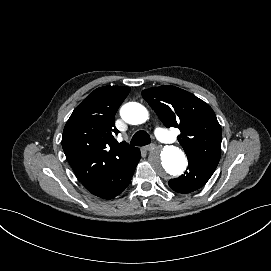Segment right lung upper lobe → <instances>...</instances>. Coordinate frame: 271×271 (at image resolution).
<instances>
[{
    "label": "right lung upper lobe",
    "mask_w": 271,
    "mask_h": 271,
    "mask_svg": "<svg viewBox=\"0 0 271 271\" xmlns=\"http://www.w3.org/2000/svg\"><path fill=\"white\" fill-rule=\"evenodd\" d=\"M129 92L126 86L97 88L75 108L64 127V153L85 188L138 150L114 139L119 132L114 116Z\"/></svg>",
    "instance_id": "obj_1"
}]
</instances>
